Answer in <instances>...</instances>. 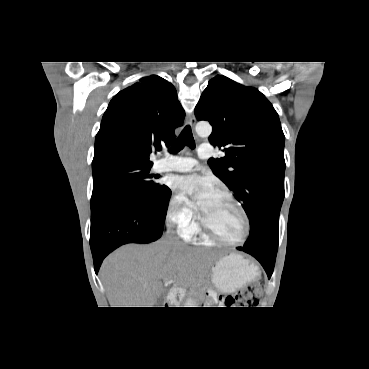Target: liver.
I'll return each instance as SVG.
<instances>
[{
    "label": "liver",
    "mask_w": 369,
    "mask_h": 369,
    "mask_svg": "<svg viewBox=\"0 0 369 369\" xmlns=\"http://www.w3.org/2000/svg\"><path fill=\"white\" fill-rule=\"evenodd\" d=\"M214 255L164 238L149 245H125L103 262L100 277L111 307H154L161 280L182 288L197 284Z\"/></svg>",
    "instance_id": "obj_1"
}]
</instances>
